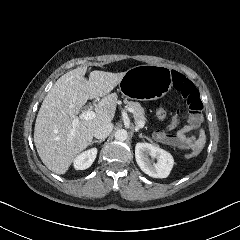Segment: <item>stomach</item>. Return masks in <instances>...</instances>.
<instances>
[{"instance_id": "0dacf381", "label": "stomach", "mask_w": 240, "mask_h": 240, "mask_svg": "<svg viewBox=\"0 0 240 240\" xmlns=\"http://www.w3.org/2000/svg\"><path fill=\"white\" fill-rule=\"evenodd\" d=\"M118 84V90L128 99L155 100L171 88L170 72L164 67L135 66L124 73Z\"/></svg>"}]
</instances>
